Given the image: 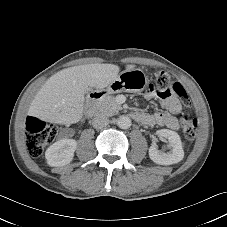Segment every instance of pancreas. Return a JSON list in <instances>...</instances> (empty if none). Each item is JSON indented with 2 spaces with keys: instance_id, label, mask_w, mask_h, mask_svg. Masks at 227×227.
Segmentation results:
<instances>
[{
  "instance_id": "obj_1",
  "label": "pancreas",
  "mask_w": 227,
  "mask_h": 227,
  "mask_svg": "<svg viewBox=\"0 0 227 227\" xmlns=\"http://www.w3.org/2000/svg\"><path fill=\"white\" fill-rule=\"evenodd\" d=\"M95 109L97 114L112 116L121 110L122 107L117 103L115 96L105 95L99 100Z\"/></svg>"
}]
</instances>
